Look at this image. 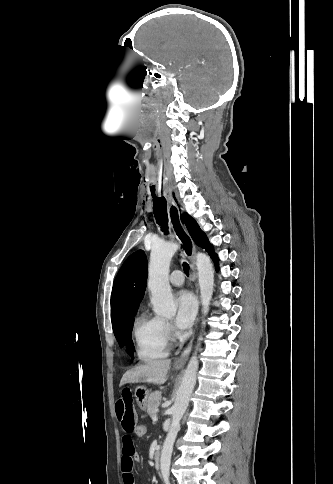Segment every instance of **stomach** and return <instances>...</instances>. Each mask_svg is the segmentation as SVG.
<instances>
[{
    "label": "stomach",
    "instance_id": "stomach-1",
    "mask_svg": "<svg viewBox=\"0 0 333 484\" xmlns=\"http://www.w3.org/2000/svg\"><path fill=\"white\" fill-rule=\"evenodd\" d=\"M176 369H179V367H176ZM150 395V392L145 386H138L135 389V397L137 400V403L141 409H146L147 407V399Z\"/></svg>",
    "mask_w": 333,
    "mask_h": 484
}]
</instances>
